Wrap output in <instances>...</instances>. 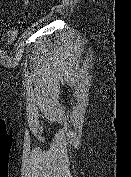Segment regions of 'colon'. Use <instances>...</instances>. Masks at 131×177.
<instances>
[{
  "label": "colon",
  "mask_w": 131,
  "mask_h": 177,
  "mask_svg": "<svg viewBox=\"0 0 131 177\" xmlns=\"http://www.w3.org/2000/svg\"><path fill=\"white\" fill-rule=\"evenodd\" d=\"M24 2L27 3V0H24ZM22 25H23V21H20L8 29L5 36L6 44H11L16 40Z\"/></svg>",
  "instance_id": "obj_1"
}]
</instances>
